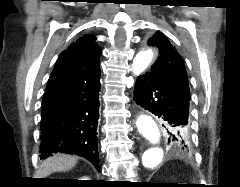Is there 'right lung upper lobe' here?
Returning <instances> with one entry per match:
<instances>
[{"instance_id":"1","label":"right lung upper lobe","mask_w":240,"mask_h":187,"mask_svg":"<svg viewBox=\"0 0 240 187\" xmlns=\"http://www.w3.org/2000/svg\"><path fill=\"white\" fill-rule=\"evenodd\" d=\"M94 35L87 34L70 45L58 58L49 78L46 90L100 71L101 50Z\"/></svg>"}]
</instances>
